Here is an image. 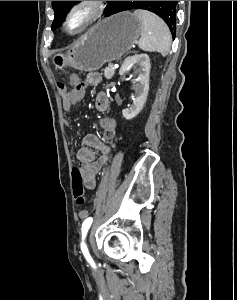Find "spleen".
Returning <instances> with one entry per match:
<instances>
[{
	"instance_id": "obj_1",
	"label": "spleen",
	"mask_w": 237,
	"mask_h": 300,
	"mask_svg": "<svg viewBox=\"0 0 237 300\" xmlns=\"http://www.w3.org/2000/svg\"><path fill=\"white\" fill-rule=\"evenodd\" d=\"M133 15L142 23V37L138 41L139 49L157 51L162 57H166L171 47V35L166 23L154 13L142 9H137Z\"/></svg>"
}]
</instances>
